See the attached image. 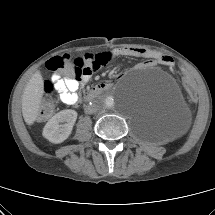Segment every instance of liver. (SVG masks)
<instances>
[{"label": "liver", "mask_w": 215, "mask_h": 215, "mask_svg": "<svg viewBox=\"0 0 215 215\" xmlns=\"http://www.w3.org/2000/svg\"><path fill=\"white\" fill-rule=\"evenodd\" d=\"M44 94V80L39 71H36L27 83L22 95V115L28 125H32L40 111Z\"/></svg>", "instance_id": "6515ba94"}]
</instances>
